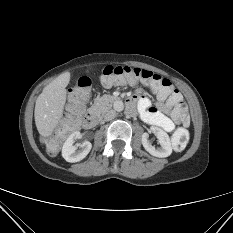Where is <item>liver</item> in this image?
I'll return each instance as SVG.
<instances>
[{
    "mask_svg": "<svg viewBox=\"0 0 233 233\" xmlns=\"http://www.w3.org/2000/svg\"><path fill=\"white\" fill-rule=\"evenodd\" d=\"M70 81V72L60 74L49 83L38 96L35 104V124L39 134L49 137L63 116L66 103V87Z\"/></svg>",
    "mask_w": 233,
    "mask_h": 233,
    "instance_id": "1",
    "label": "liver"
}]
</instances>
